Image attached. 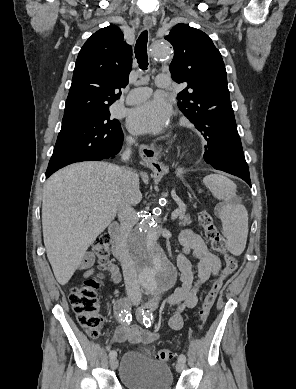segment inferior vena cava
I'll return each mask as SVG.
<instances>
[{
  "instance_id": "602c4592",
  "label": "inferior vena cava",
  "mask_w": 296,
  "mask_h": 389,
  "mask_svg": "<svg viewBox=\"0 0 296 389\" xmlns=\"http://www.w3.org/2000/svg\"><path fill=\"white\" fill-rule=\"evenodd\" d=\"M134 139L131 137L127 138V143L131 145ZM131 151L129 148L123 153L122 159L128 160L130 158ZM118 177L121 182V188L125 195L118 204V219L120 221V236L122 243L126 246L128 239L132 233L133 227L136 222L135 210L131 206V202L127 197L126 190L129 187L130 182L134 177V173L127 168H120L118 171ZM123 276L126 286L128 297L134 302L138 303L141 300L140 284L137 278V272L133 262L130 258L126 257L122 260Z\"/></svg>"
}]
</instances>
